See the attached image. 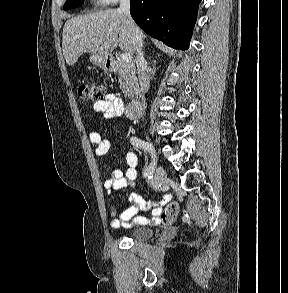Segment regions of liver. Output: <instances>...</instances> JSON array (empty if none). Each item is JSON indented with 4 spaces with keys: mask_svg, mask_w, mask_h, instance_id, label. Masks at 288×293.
<instances>
[{
    "mask_svg": "<svg viewBox=\"0 0 288 293\" xmlns=\"http://www.w3.org/2000/svg\"><path fill=\"white\" fill-rule=\"evenodd\" d=\"M119 45L125 53L136 51L126 17L116 9L92 12L68 19L62 33L66 63L73 66L83 53L110 55Z\"/></svg>",
    "mask_w": 288,
    "mask_h": 293,
    "instance_id": "obj_1",
    "label": "liver"
}]
</instances>
